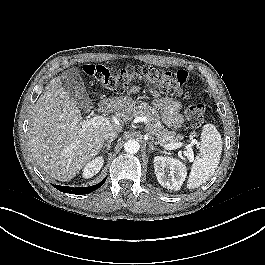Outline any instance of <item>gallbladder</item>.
Segmentation results:
<instances>
[{"mask_svg":"<svg viewBox=\"0 0 265 265\" xmlns=\"http://www.w3.org/2000/svg\"><path fill=\"white\" fill-rule=\"evenodd\" d=\"M61 81L64 90L68 93L70 98L78 104L79 107L83 109L92 108V100L87 93L78 69L72 68L67 70L62 75Z\"/></svg>","mask_w":265,"mask_h":265,"instance_id":"gallbladder-1","label":"gallbladder"}]
</instances>
